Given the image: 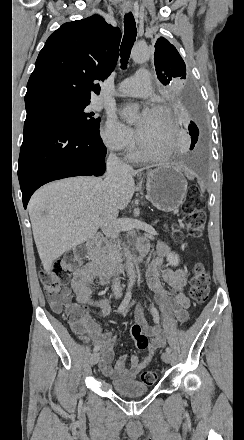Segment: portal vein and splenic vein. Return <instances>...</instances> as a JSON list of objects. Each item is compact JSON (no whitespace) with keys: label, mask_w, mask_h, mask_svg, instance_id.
<instances>
[{"label":"portal vein and splenic vein","mask_w":244,"mask_h":440,"mask_svg":"<svg viewBox=\"0 0 244 440\" xmlns=\"http://www.w3.org/2000/svg\"><path fill=\"white\" fill-rule=\"evenodd\" d=\"M74 224H79V220H75Z\"/></svg>","instance_id":"portal-vein-and-splenic-vein-1"}]
</instances>
